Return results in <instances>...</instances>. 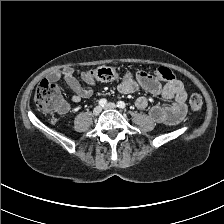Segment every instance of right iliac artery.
<instances>
[{
	"label": "right iliac artery",
	"mask_w": 224,
	"mask_h": 224,
	"mask_svg": "<svg viewBox=\"0 0 224 224\" xmlns=\"http://www.w3.org/2000/svg\"><path fill=\"white\" fill-rule=\"evenodd\" d=\"M106 104H107V100H106V99L103 98V99H100V100H99V105H100V106L103 107V106H105Z\"/></svg>",
	"instance_id": "1"
}]
</instances>
